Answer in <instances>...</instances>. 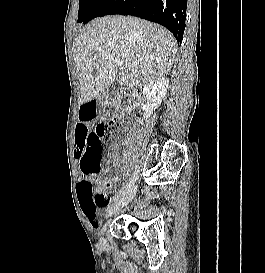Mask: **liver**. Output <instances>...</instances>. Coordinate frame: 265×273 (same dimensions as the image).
Instances as JSON below:
<instances>
[{
    "instance_id": "liver-1",
    "label": "liver",
    "mask_w": 265,
    "mask_h": 273,
    "mask_svg": "<svg viewBox=\"0 0 265 273\" xmlns=\"http://www.w3.org/2000/svg\"><path fill=\"white\" fill-rule=\"evenodd\" d=\"M80 81L79 104L100 96L115 80L133 88L167 75L174 63L177 42L164 27L135 17L105 16L93 20L72 47ZM127 68L118 77L115 59Z\"/></svg>"
}]
</instances>
